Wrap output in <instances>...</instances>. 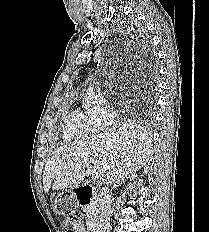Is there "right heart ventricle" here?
I'll return each mask as SVG.
<instances>
[{
	"label": "right heart ventricle",
	"mask_w": 209,
	"mask_h": 232,
	"mask_svg": "<svg viewBox=\"0 0 209 232\" xmlns=\"http://www.w3.org/2000/svg\"><path fill=\"white\" fill-rule=\"evenodd\" d=\"M63 133L67 140L87 137L91 133L87 115L78 109L71 110L65 118Z\"/></svg>",
	"instance_id": "e07e8e85"
}]
</instances>
